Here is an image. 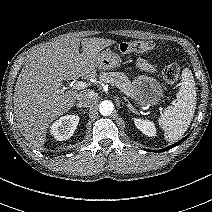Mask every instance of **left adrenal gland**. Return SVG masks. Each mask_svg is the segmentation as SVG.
<instances>
[{"instance_id": "left-adrenal-gland-1", "label": "left adrenal gland", "mask_w": 212, "mask_h": 212, "mask_svg": "<svg viewBox=\"0 0 212 212\" xmlns=\"http://www.w3.org/2000/svg\"><path fill=\"white\" fill-rule=\"evenodd\" d=\"M126 101L128 102V104H127L128 108H129L131 111L134 112V109H133V107L131 106L130 102H129L128 100H126Z\"/></svg>"}]
</instances>
